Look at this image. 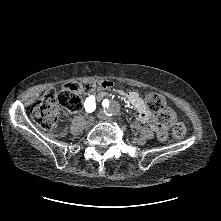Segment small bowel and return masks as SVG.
<instances>
[{"instance_id":"1","label":"small bowel","mask_w":221,"mask_h":221,"mask_svg":"<svg viewBox=\"0 0 221 221\" xmlns=\"http://www.w3.org/2000/svg\"><path fill=\"white\" fill-rule=\"evenodd\" d=\"M125 96L129 103L138 111L140 120L144 123H148L150 128L156 131L158 129L157 120L151 113L148 112L143 100L139 97V95L136 92L130 91L125 93ZM174 120L175 117L173 115V121Z\"/></svg>"}]
</instances>
